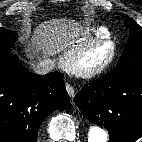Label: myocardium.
I'll list each match as a JSON object with an SVG mask.
<instances>
[{"label": "myocardium", "instance_id": "myocardium-1", "mask_svg": "<svg viewBox=\"0 0 142 142\" xmlns=\"http://www.w3.org/2000/svg\"><path fill=\"white\" fill-rule=\"evenodd\" d=\"M107 44L110 48L108 56L100 63L93 66L83 64L85 56L96 46ZM117 52L115 41L108 36H97L92 38L70 52L65 59V67L71 73L83 77L91 78L103 73L113 63Z\"/></svg>", "mask_w": 142, "mask_h": 142}]
</instances>
